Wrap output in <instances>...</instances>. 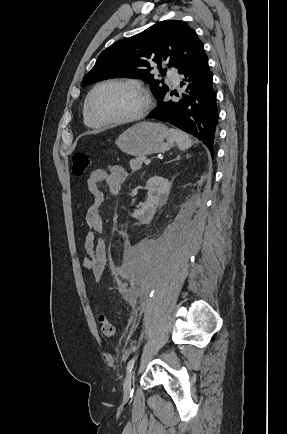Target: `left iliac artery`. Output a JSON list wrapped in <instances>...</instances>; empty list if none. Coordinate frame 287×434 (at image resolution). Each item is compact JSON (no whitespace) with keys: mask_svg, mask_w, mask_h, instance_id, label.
Instances as JSON below:
<instances>
[{"mask_svg":"<svg viewBox=\"0 0 287 434\" xmlns=\"http://www.w3.org/2000/svg\"><path fill=\"white\" fill-rule=\"evenodd\" d=\"M147 305V303L145 304V306ZM135 358H132L129 362H128V365H127V368H126V370H127V374L128 373H130L131 371H132V369H133V367H134V364H135Z\"/></svg>","mask_w":287,"mask_h":434,"instance_id":"44dca946","label":"left iliac artery"}]
</instances>
